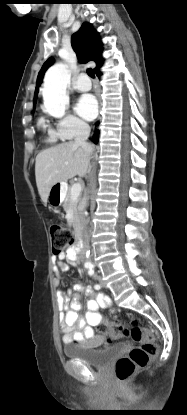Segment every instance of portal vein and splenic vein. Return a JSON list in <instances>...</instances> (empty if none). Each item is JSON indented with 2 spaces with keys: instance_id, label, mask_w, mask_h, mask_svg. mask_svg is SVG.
Instances as JSON below:
<instances>
[{
  "instance_id": "obj_1",
  "label": "portal vein and splenic vein",
  "mask_w": 187,
  "mask_h": 415,
  "mask_svg": "<svg viewBox=\"0 0 187 415\" xmlns=\"http://www.w3.org/2000/svg\"><path fill=\"white\" fill-rule=\"evenodd\" d=\"M81 184L80 183H74L71 187V196L73 200L78 199L80 193H81Z\"/></svg>"
}]
</instances>
